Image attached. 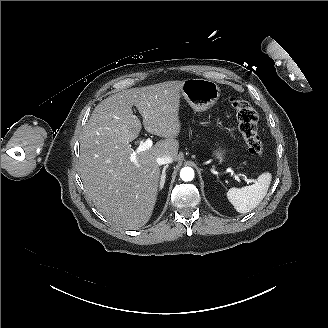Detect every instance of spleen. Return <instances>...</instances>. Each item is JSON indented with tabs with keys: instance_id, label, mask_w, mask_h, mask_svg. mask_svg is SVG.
Here are the masks:
<instances>
[{
	"instance_id": "spleen-1",
	"label": "spleen",
	"mask_w": 328,
	"mask_h": 328,
	"mask_svg": "<svg viewBox=\"0 0 328 328\" xmlns=\"http://www.w3.org/2000/svg\"><path fill=\"white\" fill-rule=\"evenodd\" d=\"M271 180V173H262L253 185L230 188L227 192V198L237 212L247 213L262 202L268 192Z\"/></svg>"
}]
</instances>
